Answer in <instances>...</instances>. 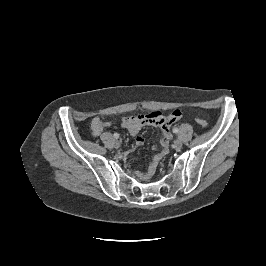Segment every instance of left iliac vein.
<instances>
[{"label":"left iliac vein","mask_w":266,"mask_h":266,"mask_svg":"<svg viewBox=\"0 0 266 266\" xmlns=\"http://www.w3.org/2000/svg\"><path fill=\"white\" fill-rule=\"evenodd\" d=\"M181 147H182V140H181V139H176V140L174 141V148H175L176 150H179Z\"/></svg>","instance_id":"1"}]
</instances>
